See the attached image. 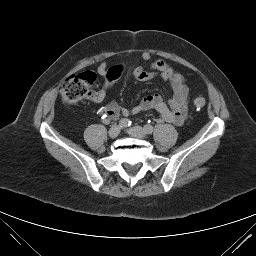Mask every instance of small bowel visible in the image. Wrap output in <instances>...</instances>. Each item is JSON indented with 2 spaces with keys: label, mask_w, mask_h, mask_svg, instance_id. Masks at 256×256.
I'll return each mask as SVG.
<instances>
[{
  "label": "small bowel",
  "mask_w": 256,
  "mask_h": 256,
  "mask_svg": "<svg viewBox=\"0 0 256 256\" xmlns=\"http://www.w3.org/2000/svg\"><path fill=\"white\" fill-rule=\"evenodd\" d=\"M141 57L144 61L151 59V54L147 51L142 52ZM125 69L122 65L108 66L102 63L98 67V73L104 80L103 87L89 95L94 102H102L108 89L124 74ZM131 76L137 81H148L155 77H161L168 81L173 89V95L167 104L161 95L151 94L143 97L136 105L131 108L121 107L115 101H109L105 107V119H116L120 116H130L147 110H155L162 121L175 125H182L188 115V104L190 89L180 72L171 67L164 60L151 62L149 68L136 67L131 70Z\"/></svg>",
  "instance_id": "small-bowel-1"
}]
</instances>
